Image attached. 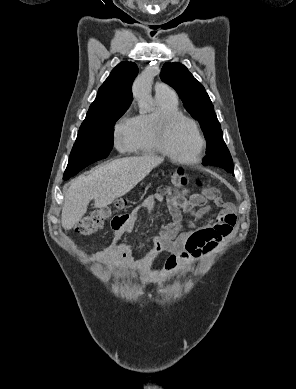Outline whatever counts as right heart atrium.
Returning <instances> with one entry per match:
<instances>
[{
    "mask_svg": "<svg viewBox=\"0 0 296 389\" xmlns=\"http://www.w3.org/2000/svg\"><path fill=\"white\" fill-rule=\"evenodd\" d=\"M131 121L128 116L121 117L113 129V141L117 149L124 151L128 149L131 136Z\"/></svg>",
    "mask_w": 296,
    "mask_h": 389,
    "instance_id": "obj_1",
    "label": "right heart atrium"
}]
</instances>
